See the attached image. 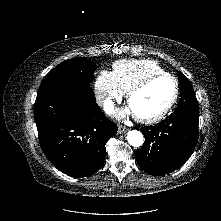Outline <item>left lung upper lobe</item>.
<instances>
[{
  "instance_id": "obj_1",
  "label": "left lung upper lobe",
  "mask_w": 221,
  "mask_h": 221,
  "mask_svg": "<svg viewBox=\"0 0 221 221\" xmlns=\"http://www.w3.org/2000/svg\"><path fill=\"white\" fill-rule=\"evenodd\" d=\"M177 73L180 82V101L179 104L177 105V109L185 107L199 108L190 81L181 72L178 71Z\"/></svg>"
}]
</instances>
